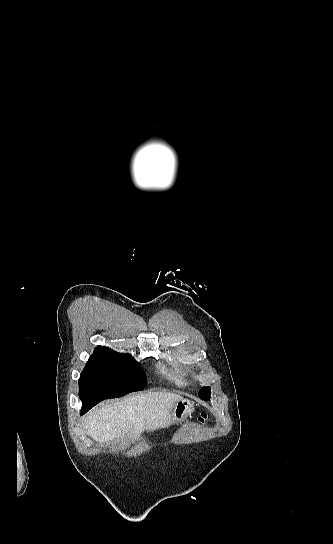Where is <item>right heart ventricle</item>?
Returning a JSON list of instances; mask_svg holds the SVG:
<instances>
[{
	"label": "right heart ventricle",
	"instance_id": "1",
	"mask_svg": "<svg viewBox=\"0 0 333 544\" xmlns=\"http://www.w3.org/2000/svg\"><path fill=\"white\" fill-rule=\"evenodd\" d=\"M162 372L170 379L174 380L178 384H183L185 379L178 374L179 366L177 364H171L170 366H164L161 368Z\"/></svg>",
	"mask_w": 333,
	"mask_h": 544
}]
</instances>
